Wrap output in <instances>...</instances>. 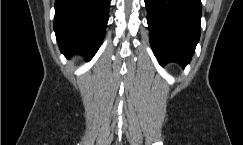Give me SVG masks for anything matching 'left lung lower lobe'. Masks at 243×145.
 Here are the masks:
<instances>
[{"label": "left lung lower lobe", "instance_id": "obj_1", "mask_svg": "<svg viewBox=\"0 0 243 145\" xmlns=\"http://www.w3.org/2000/svg\"><path fill=\"white\" fill-rule=\"evenodd\" d=\"M150 44L161 65L191 61L200 37L201 0H145Z\"/></svg>", "mask_w": 243, "mask_h": 145}]
</instances>
